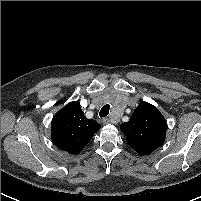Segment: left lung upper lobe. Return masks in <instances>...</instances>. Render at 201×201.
Here are the masks:
<instances>
[{
  "instance_id": "5c2ea615",
  "label": "left lung upper lobe",
  "mask_w": 201,
  "mask_h": 201,
  "mask_svg": "<svg viewBox=\"0 0 201 201\" xmlns=\"http://www.w3.org/2000/svg\"><path fill=\"white\" fill-rule=\"evenodd\" d=\"M120 129L139 155H147L163 144L167 125L155 106L142 101Z\"/></svg>"
}]
</instances>
